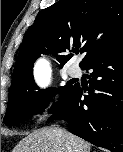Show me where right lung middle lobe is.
Wrapping results in <instances>:
<instances>
[{"label":"right lung middle lobe","instance_id":"right-lung-middle-lobe-1","mask_svg":"<svg viewBox=\"0 0 123 152\" xmlns=\"http://www.w3.org/2000/svg\"><path fill=\"white\" fill-rule=\"evenodd\" d=\"M68 83V85L62 86L58 90L62 97L57 103L53 104L51 113L60 110L75 89L76 85L71 82ZM54 92H56L54 88L39 90L34 81L24 84L19 90L9 95L4 123L14 126L27 121L33 114L46 108L47 99Z\"/></svg>","mask_w":123,"mask_h":152}]
</instances>
